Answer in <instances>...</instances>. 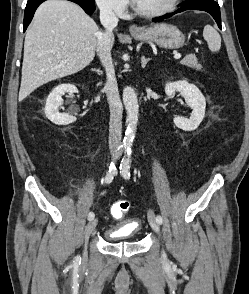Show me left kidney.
Here are the masks:
<instances>
[{
	"mask_svg": "<svg viewBox=\"0 0 249 294\" xmlns=\"http://www.w3.org/2000/svg\"><path fill=\"white\" fill-rule=\"evenodd\" d=\"M175 92H180L187 105L192 109V113L189 119L175 117L173 119L174 124L184 131L196 130L205 116V97L194 84L188 83L186 80L169 82L165 85L167 96H171Z\"/></svg>",
	"mask_w": 249,
	"mask_h": 294,
	"instance_id": "1",
	"label": "left kidney"
}]
</instances>
